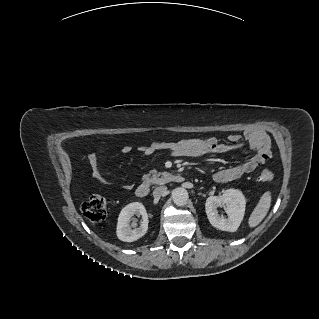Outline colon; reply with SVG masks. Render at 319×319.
I'll return each mask as SVG.
<instances>
[{
	"label": "colon",
	"mask_w": 319,
	"mask_h": 319,
	"mask_svg": "<svg viewBox=\"0 0 319 319\" xmlns=\"http://www.w3.org/2000/svg\"><path fill=\"white\" fill-rule=\"evenodd\" d=\"M261 154L269 158L271 155L270 144L267 142L260 149ZM263 181H272L274 179L273 172L264 170L260 174ZM83 215L92 222H100L106 217V199L100 194L91 195L81 207Z\"/></svg>",
	"instance_id": "colon-1"
}]
</instances>
